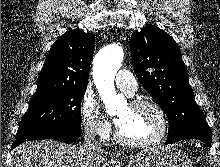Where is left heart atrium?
Wrapping results in <instances>:
<instances>
[{
  "mask_svg": "<svg viewBox=\"0 0 220 167\" xmlns=\"http://www.w3.org/2000/svg\"><path fill=\"white\" fill-rule=\"evenodd\" d=\"M117 125H119V119L116 120Z\"/></svg>",
  "mask_w": 220,
  "mask_h": 167,
  "instance_id": "obj_1",
  "label": "left heart atrium"
}]
</instances>
